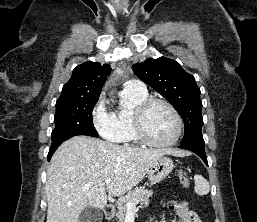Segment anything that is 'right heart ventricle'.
Segmentation results:
<instances>
[{
    "mask_svg": "<svg viewBox=\"0 0 257 222\" xmlns=\"http://www.w3.org/2000/svg\"><path fill=\"white\" fill-rule=\"evenodd\" d=\"M148 98L147 91L140 92L124 89L119 108L112 113L116 127L119 131L115 142L136 144L139 142L134 127V113L137 107Z\"/></svg>",
    "mask_w": 257,
    "mask_h": 222,
    "instance_id": "right-heart-ventricle-1",
    "label": "right heart ventricle"
}]
</instances>
